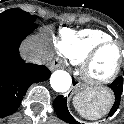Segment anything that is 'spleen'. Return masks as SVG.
Returning <instances> with one entry per match:
<instances>
[{
    "label": "spleen",
    "mask_w": 124,
    "mask_h": 124,
    "mask_svg": "<svg viewBox=\"0 0 124 124\" xmlns=\"http://www.w3.org/2000/svg\"><path fill=\"white\" fill-rule=\"evenodd\" d=\"M73 104L83 117L94 120L100 118L107 112L111 100L106 96H100L97 99H93L91 95H76L73 98Z\"/></svg>",
    "instance_id": "3e777b00"
}]
</instances>
